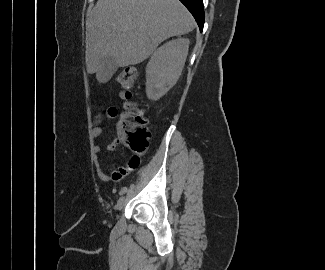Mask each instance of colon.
<instances>
[{
    "label": "colon",
    "instance_id": "obj_1",
    "mask_svg": "<svg viewBox=\"0 0 325 270\" xmlns=\"http://www.w3.org/2000/svg\"><path fill=\"white\" fill-rule=\"evenodd\" d=\"M137 76V69L128 67L116 78L124 89L121 96L125 100L124 107L126 109L119 122L118 138L130 148L131 156L127 165L129 170L135 169L140 164L150 136L142 111L131 101V89L137 80Z\"/></svg>",
    "mask_w": 325,
    "mask_h": 270
}]
</instances>
